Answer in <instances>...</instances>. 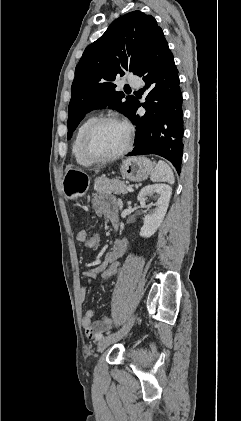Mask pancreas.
<instances>
[{
  "label": "pancreas",
  "instance_id": "cf45deb5",
  "mask_svg": "<svg viewBox=\"0 0 241 421\" xmlns=\"http://www.w3.org/2000/svg\"><path fill=\"white\" fill-rule=\"evenodd\" d=\"M127 185L118 179H108L104 177L96 178L94 182V190L98 194H111L114 192L117 195L127 194Z\"/></svg>",
  "mask_w": 241,
  "mask_h": 421
}]
</instances>
